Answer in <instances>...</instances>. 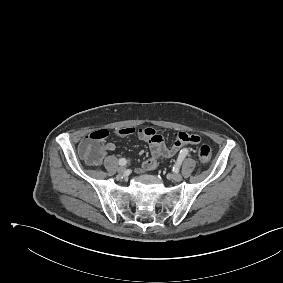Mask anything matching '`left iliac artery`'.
Listing matches in <instances>:
<instances>
[{
	"label": "left iliac artery",
	"instance_id": "1",
	"mask_svg": "<svg viewBox=\"0 0 283 283\" xmlns=\"http://www.w3.org/2000/svg\"><path fill=\"white\" fill-rule=\"evenodd\" d=\"M187 154H188V150H187V149H183V150L180 152V154H179V156H178V159H177V163H176V165H175V168L180 167L182 161H183L184 158L187 156Z\"/></svg>",
	"mask_w": 283,
	"mask_h": 283
}]
</instances>
